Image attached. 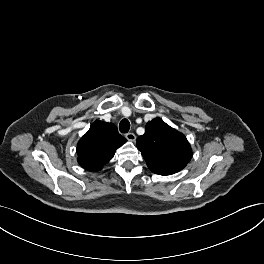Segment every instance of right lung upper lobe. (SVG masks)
I'll use <instances>...</instances> for the list:
<instances>
[{"label": "right lung upper lobe", "mask_w": 264, "mask_h": 264, "mask_svg": "<svg viewBox=\"0 0 264 264\" xmlns=\"http://www.w3.org/2000/svg\"><path fill=\"white\" fill-rule=\"evenodd\" d=\"M126 141L114 124L96 121L78 142V163L89 171L100 170Z\"/></svg>", "instance_id": "1"}]
</instances>
